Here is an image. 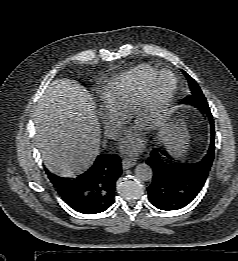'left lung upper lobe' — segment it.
<instances>
[{"label": "left lung upper lobe", "instance_id": "1", "mask_svg": "<svg viewBox=\"0 0 238 261\" xmlns=\"http://www.w3.org/2000/svg\"><path fill=\"white\" fill-rule=\"evenodd\" d=\"M182 72L186 75V78L188 80V83H189V86L191 89V95L184 98L182 100V102L186 103V104L195 105L197 107L203 106V105L208 106L207 100H206L205 96L203 95L199 85L186 72H184V71H182Z\"/></svg>", "mask_w": 238, "mask_h": 261}]
</instances>
